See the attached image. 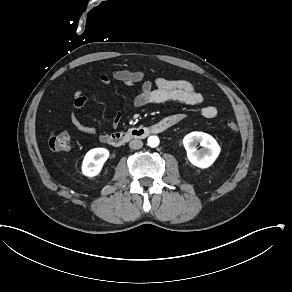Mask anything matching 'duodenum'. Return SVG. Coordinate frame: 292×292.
Listing matches in <instances>:
<instances>
[{"mask_svg": "<svg viewBox=\"0 0 292 292\" xmlns=\"http://www.w3.org/2000/svg\"><path fill=\"white\" fill-rule=\"evenodd\" d=\"M161 128H162L161 125L155 124L150 127L136 128L124 132L114 133L109 135V137L107 138V142L114 147H120L125 142L131 139H143L149 136L150 134L165 131V130L162 131Z\"/></svg>", "mask_w": 292, "mask_h": 292, "instance_id": "duodenum-1", "label": "duodenum"}]
</instances>
